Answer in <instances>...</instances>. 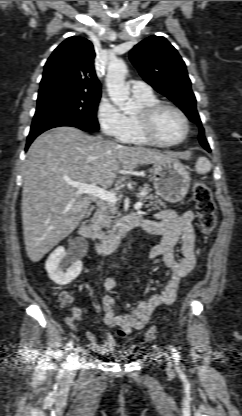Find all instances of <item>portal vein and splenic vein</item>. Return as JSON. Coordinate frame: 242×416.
Segmentation results:
<instances>
[{"label": "portal vein and splenic vein", "instance_id": "portal-vein-and-splenic-vein-1", "mask_svg": "<svg viewBox=\"0 0 242 416\" xmlns=\"http://www.w3.org/2000/svg\"><path fill=\"white\" fill-rule=\"evenodd\" d=\"M69 184L77 188L78 194H88V195H91L93 197H96L98 199H101L111 204H116L118 201L114 193L98 187L95 183L84 184V183H78V182H70ZM140 194L144 195L145 193L141 192ZM142 205L143 204L141 201L136 202L134 205V208L140 209Z\"/></svg>", "mask_w": 242, "mask_h": 416}]
</instances>
